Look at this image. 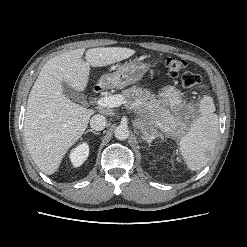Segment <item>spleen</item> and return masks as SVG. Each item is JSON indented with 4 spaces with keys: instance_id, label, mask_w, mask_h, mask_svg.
<instances>
[{
    "instance_id": "spleen-1",
    "label": "spleen",
    "mask_w": 247,
    "mask_h": 247,
    "mask_svg": "<svg viewBox=\"0 0 247 247\" xmlns=\"http://www.w3.org/2000/svg\"><path fill=\"white\" fill-rule=\"evenodd\" d=\"M200 116L180 140L181 155L187 167L196 171L204 167L213 153L218 138V116L210 96L200 101Z\"/></svg>"
}]
</instances>
